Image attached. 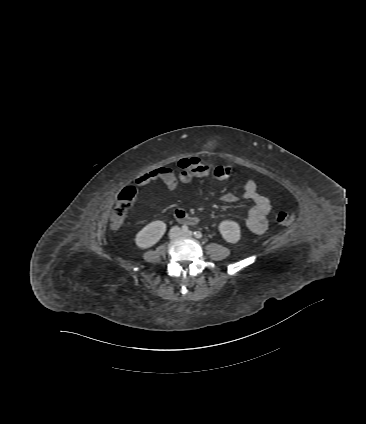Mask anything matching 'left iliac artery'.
<instances>
[{"label":"left iliac artery","mask_w":366,"mask_h":424,"mask_svg":"<svg viewBox=\"0 0 366 424\" xmlns=\"http://www.w3.org/2000/svg\"><path fill=\"white\" fill-rule=\"evenodd\" d=\"M194 235H195L196 238H201L202 237V233L200 231L194 232Z\"/></svg>","instance_id":"44dca946"}]
</instances>
